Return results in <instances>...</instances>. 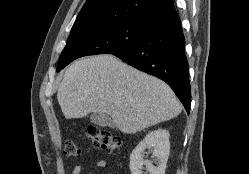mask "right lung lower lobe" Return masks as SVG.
Instances as JSON below:
<instances>
[{"instance_id": "right-lung-lower-lobe-1", "label": "right lung lower lobe", "mask_w": 249, "mask_h": 174, "mask_svg": "<svg viewBox=\"0 0 249 174\" xmlns=\"http://www.w3.org/2000/svg\"><path fill=\"white\" fill-rule=\"evenodd\" d=\"M184 44L181 22L175 14L148 21L143 35L132 46L112 54L165 81L189 113L191 91Z\"/></svg>"}]
</instances>
